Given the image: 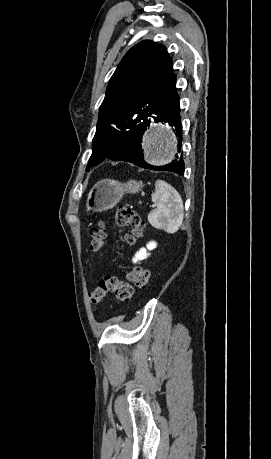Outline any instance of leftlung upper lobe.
I'll use <instances>...</instances> for the list:
<instances>
[{"instance_id":"left-lung-upper-lobe-1","label":"left lung upper lobe","mask_w":271,"mask_h":459,"mask_svg":"<svg viewBox=\"0 0 271 459\" xmlns=\"http://www.w3.org/2000/svg\"><path fill=\"white\" fill-rule=\"evenodd\" d=\"M172 65L166 48L150 40L126 53L107 86L86 171L105 160L119 128L149 110L154 90L172 74Z\"/></svg>"}]
</instances>
